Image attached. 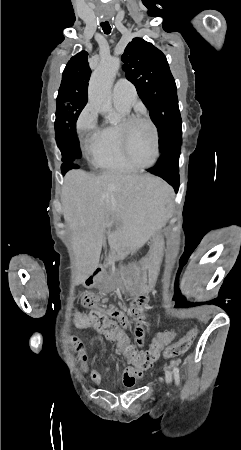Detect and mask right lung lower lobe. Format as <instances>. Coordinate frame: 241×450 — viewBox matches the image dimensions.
<instances>
[{
  "label": "right lung lower lobe",
  "mask_w": 241,
  "mask_h": 450,
  "mask_svg": "<svg viewBox=\"0 0 241 450\" xmlns=\"http://www.w3.org/2000/svg\"><path fill=\"white\" fill-rule=\"evenodd\" d=\"M78 118V117H77ZM77 118L74 119L70 126H69V130L66 134V138H67V146H66V150H67V155L69 157H76L78 154L81 155V151L77 142V138H76V121ZM74 168H79V166L76 164V162H72L70 163Z\"/></svg>",
  "instance_id": "obj_1"
}]
</instances>
